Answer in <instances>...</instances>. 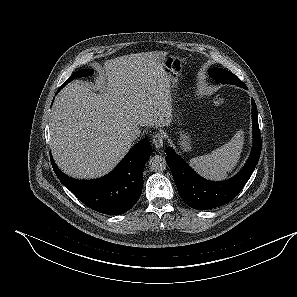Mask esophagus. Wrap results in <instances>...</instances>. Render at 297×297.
<instances>
[{
	"label": "esophagus",
	"instance_id": "esophagus-1",
	"mask_svg": "<svg viewBox=\"0 0 297 297\" xmlns=\"http://www.w3.org/2000/svg\"><path fill=\"white\" fill-rule=\"evenodd\" d=\"M152 144L155 148H162L164 145V136L161 133H156L152 137Z\"/></svg>",
	"mask_w": 297,
	"mask_h": 297
}]
</instances>
